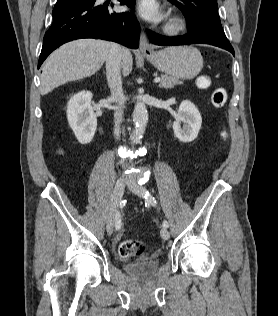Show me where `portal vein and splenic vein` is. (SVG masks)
Listing matches in <instances>:
<instances>
[{"label":"portal vein and splenic vein","mask_w":278,"mask_h":316,"mask_svg":"<svg viewBox=\"0 0 278 316\" xmlns=\"http://www.w3.org/2000/svg\"><path fill=\"white\" fill-rule=\"evenodd\" d=\"M160 81H161V78H159V77H157V78L154 79V82H155V83H159Z\"/></svg>","instance_id":"portal-vein-and-splenic-vein-1"}]
</instances>
